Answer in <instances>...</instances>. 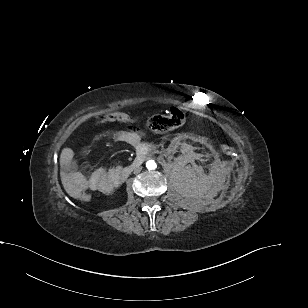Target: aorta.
I'll return each instance as SVG.
<instances>
[{
  "label": "aorta",
  "mask_w": 308,
  "mask_h": 308,
  "mask_svg": "<svg viewBox=\"0 0 308 308\" xmlns=\"http://www.w3.org/2000/svg\"><path fill=\"white\" fill-rule=\"evenodd\" d=\"M146 167L149 170H154L157 167V165H156L155 161L149 160V161L146 162Z\"/></svg>",
  "instance_id": "obj_1"
}]
</instances>
